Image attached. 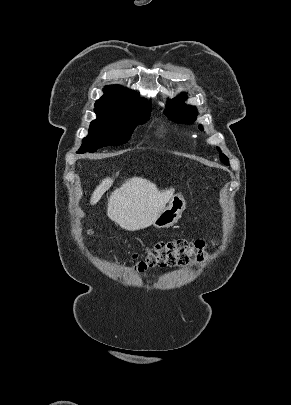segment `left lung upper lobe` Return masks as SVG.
I'll use <instances>...</instances> for the list:
<instances>
[{"label":"left lung upper lobe","instance_id":"obj_1","mask_svg":"<svg viewBox=\"0 0 291 405\" xmlns=\"http://www.w3.org/2000/svg\"><path fill=\"white\" fill-rule=\"evenodd\" d=\"M185 98L179 97L170 100L167 104V110H165V114L172 120L176 122H184L187 124L193 123L194 118L197 115V111L195 107L183 104V100ZM202 129V127L200 126ZM220 151V149L218 148ZM220 160L226 164H228V158L220 151L219 154Z\"/></svg>","mask_w":291,"mask_h":405}]
</instances>
